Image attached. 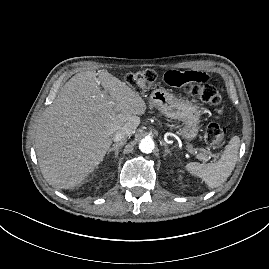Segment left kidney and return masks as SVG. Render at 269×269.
Here are the masks:
<instances>
[{"label":"left kidney","mask_w":269,"mask_h":269,"mask_svg":"<svg viewBox=\"0 0 269 269\" xmlns=\"http://www.w3.org/2000/svg\"><path fill=\"white\" fill-rule=\"evenodd\" d=\"M182 172H183L182 170H179V173H182ZM179 177L182 178V175L180 174Z\"/></svg>","instance_id":"left-kidney-1"}]
</instances>
